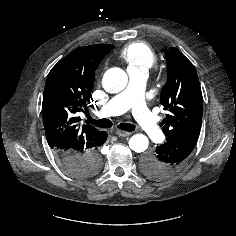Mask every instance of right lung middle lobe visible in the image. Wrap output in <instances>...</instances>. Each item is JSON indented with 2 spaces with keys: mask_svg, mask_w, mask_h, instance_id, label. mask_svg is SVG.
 Wrapping results in <instances>:
<instances>
[{
  "mask_svg": "<svg viewBox=\"0 0 236 236\" xmlns=\"http://www.w3.org/2000/svg\"><path fill=\"white\" fill-rule=\"evenodd\" d=\"M97 172H98V166H95L91 170L88 171V174L91 175V174H95Z\"/></svg>",
  "mask_w": 236,
  "mask_h": 236,
  "instance_id": "right-lung-middle-lobe-1",
  "label": "right lung middle lobe"
}]
</instances>
